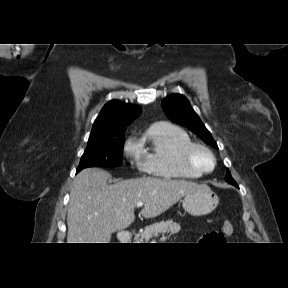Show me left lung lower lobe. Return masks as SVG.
I'll return each mask as SVG.
<instances>
[{
	"mask_svg": "<svg viewBox=\"0 0 288 288\" xmlns=\"http://www.w3.org/2000/svg\"><path fill=\"white\" fill-rule=\"evenodd\" d=\"M230 184H232V185L236 186L237 188H239L238 185L236 184V182H231Z\"/></svg>",
	"mask_w": 288,
	"mask_h": 288,
	"instance_id": "obj_1",
	"label": "left lung lower lobe"
}]
</instances>
